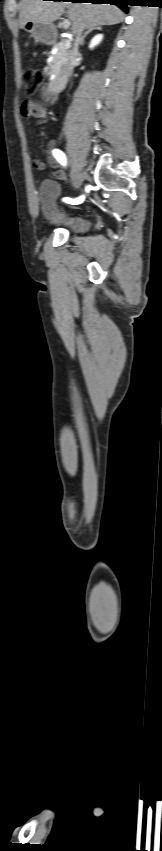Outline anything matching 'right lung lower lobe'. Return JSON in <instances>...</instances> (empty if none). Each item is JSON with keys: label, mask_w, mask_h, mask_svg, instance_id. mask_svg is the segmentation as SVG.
<instances>
[{"label": "right lung lower lobe", "mask_w": 162, "mask_h": 851, "mask_svg": "<svg viewBox=\"0 0 162 851\" xmlns=\"http://www.w3.org/2000/svg\"><path fill=\"white\" fill-rule=\"evenodd\" d=\"M56 1H63V0H56ZM130 1H131V0H71V2H81V3L88 2V3H93V4H111V5H117V6H118V7H120V8H121L124 12H128V7H127V5H132V4H130Z\"/></svg>", "instance_id": "1"}]
</instances>
